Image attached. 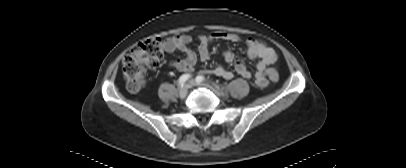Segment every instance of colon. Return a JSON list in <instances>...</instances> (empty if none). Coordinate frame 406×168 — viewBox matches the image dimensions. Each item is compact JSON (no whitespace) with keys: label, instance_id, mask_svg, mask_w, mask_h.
<instances>
[{"label":"colon","instance_id":"colon-1","mask_svg":"<svg viewBox=\"0 0 406 168\" xmlns=\"http://www.w3.org/2000/svg\"><path fill=\"white\" fill-rule=\"evenodd\" d=\"M164 57V41L160 37H151L140 42L123 59L122 71L126 88L138 92L145 84L147 68H156ZM269 78L273 83L279 81L275 68H269Z\"/></svg>","mask_w":406,"mask_h":168}]
</instances>
